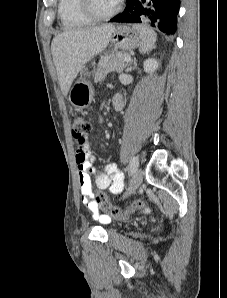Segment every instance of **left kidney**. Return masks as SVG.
Here are the masks:
<instances>
[{"mask_svg":"<svg viewBox=\"0 0 227 298\" xmlns=\"http://www.w3.org/2000/svg\"><path fill=\"white\" fill-rule=\"evenodd\" d=\"M144 70L147 73H152L159 67V63L156 59H147L143 64Z\"/></svg>","mask_w":227,"mask_h":298,"instance_id":"left-kidney-1","label":"left kidney"}]
</instances>
